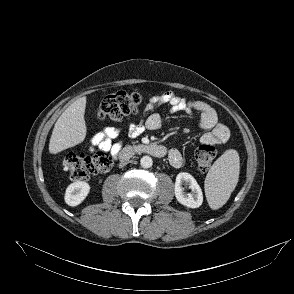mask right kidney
Segmentation results:
<instances>
[{"label":"right kidney","instance_id":"ca27d5eb","mask_svg":"<svg viewBox=\"0 0 294 294\" xmlns=\"http://www.w3.org/2000/svg\"><path fill=\"white\" fill-rule=\"evenodd\" d=\"M90 191V185L84 181L71 183L65 192V202L69 206H77L84 201Z\"/></svg>","mask_w":294,"mask_h":294}]
</instances>
